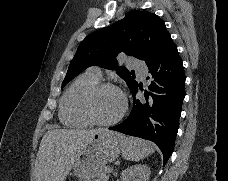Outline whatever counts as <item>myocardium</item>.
I'll list each match as a JSON object with an SVG mask.
<instances>
[{
  "label": "myocardium",
  "instance_id": "myocardium-1",
  "mask_svg": "<svg viewBox=\"0 0 228 181\" xmlns=\"http://www.w3.org/2000/svg\"><path fill=\"white\" fill-rule=\"evenodd\" d=\"M105 88H113L117 90L121 95L122 102H123L120 112L113 118L106 119V120L100 119L95 115L93 110V105H92V97L98 91ZM127 106H128V102H127L126 95L118 86H116L113 82H109V81L97 82L93 86H91L86 92L82 102V109H83L84 115L88 118V120H90V122L94 124L102 125V126L111 125L118 122L124 116L127 110Z\"/></svg>",
  "mask_w": 228,
  "mask_h": 181
}]
</instances>
